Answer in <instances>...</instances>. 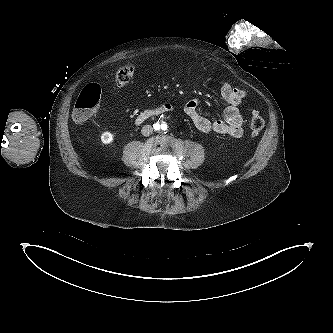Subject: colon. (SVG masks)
I'll use <instances>...</instances> for the list:
<instances>
[{
    "instance_id": "1",
    "label": "colon",
    "mask_w": 333,
    "mask_h": 333,
    "mask_svg": "<svg viewBox=\"0 0 333 333\" xmlns=\"http://www.w3.org/2000/svg\"><path fill=\"white\" fill-rule=\"evenodd\" d=\"M134 72L131 65L120 68L115 75V82L118 86L126 85ZM101 89L99 85L91 83L86 85L80 92L73 111L72 118L77 123L89 121L97 112L100 106ZM265 125L263 117L256 109L251 110L250 129L253 136H257Z\"/></svg>"
}]
</instances>
